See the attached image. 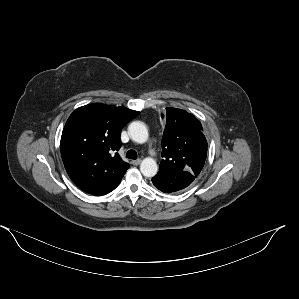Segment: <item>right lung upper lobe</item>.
I'll return each mask as SVG.
<instances>
[{
	"label": "right lung upper lobe",
	"instance_id": "1",
	"mask_svg": "<svg viewBox=\"0 0 299 299\" xmlns=\"http://www.w3.org/2000/svg\"><path fill=\"white\" fill-rule=\"evenodd\" d=\"M138 114L125 107L93 103L70 115L60 150L69 177L80 189L100 196L118 186L129 168L117 153L120 130Z\"/></svg>",
	"mask_w": 299,
	"mask_h": 299
}]
</instances>
